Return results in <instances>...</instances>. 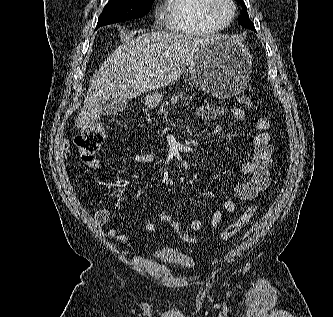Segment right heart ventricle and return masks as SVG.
<instances>
[{
	"mask_svg": "<svg viewBox=\"0 0 333 317\" xmlns=\"http://www.w3.org/2000/svg\"><path fill=\"white\" fill-rule=\"evenodd\" d=\"M206 0H164L160 17L167 30L187 36H206L221 31L224 26L205 13Z\"/></svg>",
	"mask_w": 333,
	"mask_h": 317,
	"instance_id": "1",
	"label": "right heart ventricle"
}]
</instances>
